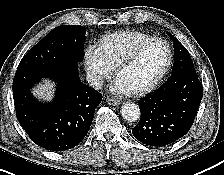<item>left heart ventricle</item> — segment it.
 Returning a JSON list of instances; mask_svg holds the SVG:
<instances>
[{
  "label": "left heart ventricle",
  "instance_id": "left-heart-ventricle-1",
  "mask_svg": "<svg viewBox=\"0 0 224 175\" xmlns=\"http://www.w3.org/2000/svg\"><path fill=\"white\" fill-rule=\"evenodd\" d=\"M167 48L155 43L146 48L137 60L126 67L118 78L129 90H134L151 82L163 68L167 60Z\"/></svg>",
  "mask_w": 224,
  "mask_h": 175
}]
</instances>
